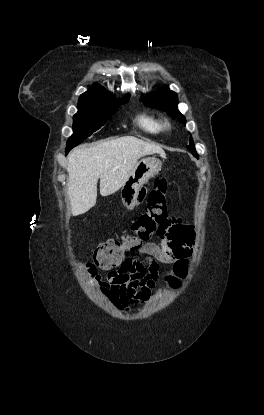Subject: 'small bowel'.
<instances>
[{
    "label": "small bowel",
    "mask_w": 264,
    "mask_h": 415,
    "mask_svg": "<svg viewBox=\"0 0 264 415\" xmlns=\"http://www.w3.org/2000/svg\"><path fill=\"white\" fill-rule=\"evenodd\" d=\"M195 233L191 226L182 225L180 218L172 221L171 232L163 236L160 244L150 243L141 249L146 261L127 259L121 267L110 271L105 280L95 273L90 277L98 282L101 292L120 309L128 310L143 304L151 295L156 280L161 275V264L170 265L183 262L191 253ZM181 282L178 287H180ZM177 287V288H178ZM122 288L127 290L124 301L116 302L115 293Z\"/></svg>",
    "instance_id": "1"
}]
</instances>
